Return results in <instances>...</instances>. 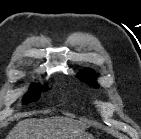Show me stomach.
<instances>
[{
	"label": "stomach",
	"mask_w": 141,
	"mask_h": 139,
	"mask_svg": "<svg viewBox=\"0 0 141 139\" xmlns=\"http://www.w3.org/2000/svg\"><path fill=\"white\" fill-rule=\"evenodd\" d=\"M79 139H92V138L91 136L84 134Z\"/></svg>",
	"instance_id": "obj_1"
}]
</instances>
